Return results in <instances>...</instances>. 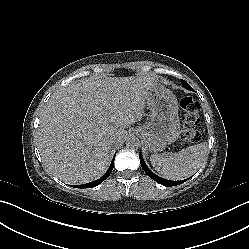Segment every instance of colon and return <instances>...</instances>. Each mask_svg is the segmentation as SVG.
<instances>
[{"label":"colon","mask_w":249,"mask_h":249,"mask_svg":"<svg viewBox=\"0 0 249 249\" xmlns=\"http://www.w3.org/2000/svg\"><path fill=\"white\" fill-rule=\"evenodd\" d=\"M181 118L183 122L182 137L187 142H196L200 134L196 127L199 123V104L190 96L180 100Z\"/></svg>","instance_id":"obj_1"}]
</instances>
